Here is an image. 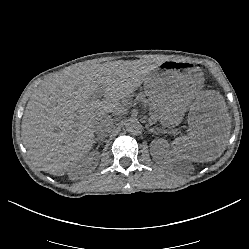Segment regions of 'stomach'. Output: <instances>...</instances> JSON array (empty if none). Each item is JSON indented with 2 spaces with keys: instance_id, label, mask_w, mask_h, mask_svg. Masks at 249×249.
I'll return each instance as SVG.
<instances>
[{
  "instance_id": "obj_1",
  "label": "stomach",
  "mask_w": 249,
  "mask_h": 249,
  "mask_svg": "<svg viewBox=\"0 0 249 249\" xmlns=\"http://www.w3.org/2000/svg\"><path fill=\"white\" fill-rule=\"evenodd\" d=\"M204 87L202 70L191 63L164 61L144 83L147 103L156 121L165 127L178 125L187 104Z\"/></svg>"
}]
</instances>
